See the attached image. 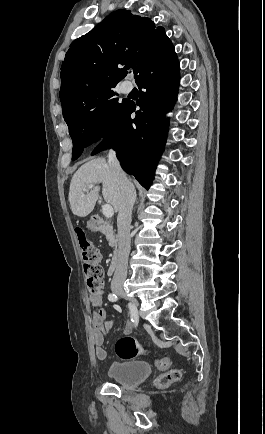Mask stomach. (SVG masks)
Listing matches in <instances>:
<instances>
[{
    "label": "stomach",
    "mask_w": 265,
    "mask_h": 434,
    "mask_svg": "<svg viewBox=\"0 0 265 434\" xmlns=\"http://www.w3.org/2000/svg\"><path fill=\"white\" fill-rule=\"evenodd\" d=\"M88 230L89 231H94L95 230V225L94 224H89L88 225Z\"/></svg>",
    "instance_id": "0dacf381"
}]
</instances>
